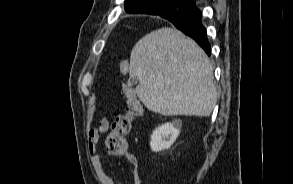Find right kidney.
Returning <instances> with one entry per match:
<instances>
[{
	"mask_svg": "<svg viewBox=\"0 0 293 184\" xmlns=\"http://www.w3.org/2000/svg\"><path fill=\"white\" fill-rule=\"evenodd\" d=\"M181 126L182 121L174 120L172 123H165L156 128L151 135V150L159 152L169 149L179 136Z\"/></svg>",
	"mask_w": 293,
	"mask_h": 184,
	"instance_id": "1",
	"label": "right kidney"
}]
</instances>
